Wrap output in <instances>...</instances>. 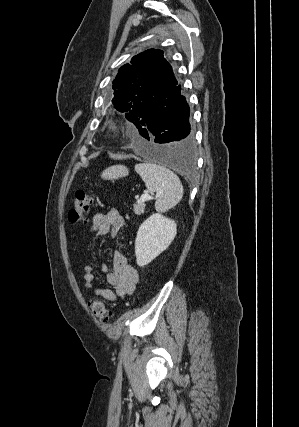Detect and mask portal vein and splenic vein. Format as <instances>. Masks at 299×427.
Listing matches in <instances>:
<instances>
[{
  "mask_svg": "<svg viewBox=\"0 0 299 427\" xmlns=\"http://www.w3.org/2000/svg\"><path fill=\"white\" fill-rule=\"evenodd\" d=\"M158 197H159V196L157 195V196H156V198H158ZM146 199H151V196H150V195H148V194L143 195V196L141 197V199H140V200L145 201Z\"/></svg>",
  "mask_w": 299,
  "mask_h": 427,
  "instance_id": "18ae733b",
  "label": "portal vein and splenic vein"
}]
</instances>
